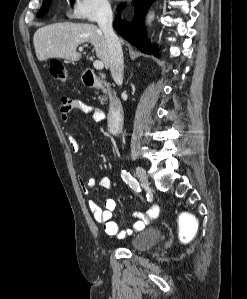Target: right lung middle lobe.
<instances>
[{
  "label": "right lung middle lobe",
  "instance_id": "obj_1",
  "mask_svg": "<svg viewBox=\"0 0 247 299\" xmlns=\"http://www.w3.org/2000/svg\"><path fill=\"white\" fill-rule=\"evenodd\" d=\"M51 1L52 0H44L43 1L42 7L40 8V10L38 12L37 17H41V16L45 15L48 12Z\"/></svg>",
  "mask_w": 247,
  "mask_h": 299
}]
</instances>
